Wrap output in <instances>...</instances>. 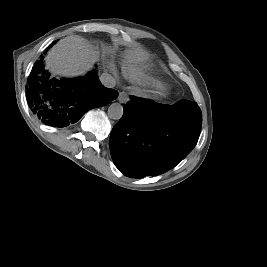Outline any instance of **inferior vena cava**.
Returning <instances> with one entry per match:
<instances>
[{
    "label": "inferior vena cava",
    "mask_w": 267,
    "mask_h": 267,
    "mask_svg": "<svg viewBox=\"0 0 267 267\" xmlns=\"http://www.w3.org/2000/svg\"><path fill=\"white\" fill-rule=\"evenodd\" d=\"M99 79L101 83L107 88H114L116 85L115 78L108 73L101 74Z\"/></svg>",
    "instance_id": "obj_1"
}]
</instances>
